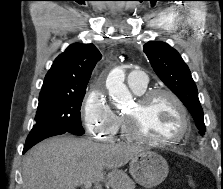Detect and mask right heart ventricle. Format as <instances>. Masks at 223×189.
I'll list each match as a JSON object with an SVG mask.
<instances>
[{
  "label": "right heart ventricle",
  "instance_id": "obj_1",
  "mask_svg": "<svg viewBox=\"0 0 223 189\" xmlns=\"http://www.w3.org/2000/svg\"><path fill=\"white\" fill-rule=\"evenodd\" d=\"M134 92L137 94H142L143 92H145V88L139 91L134 90ZM118 118H119V124H118L117 131L120 129L122 135L124 137H127L126 130H125V118L123 116H120Z\"/></svg>",
  "mask_w": 223,
  "mask_h": 189
}]
</instances>
